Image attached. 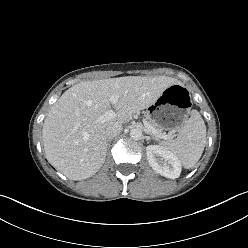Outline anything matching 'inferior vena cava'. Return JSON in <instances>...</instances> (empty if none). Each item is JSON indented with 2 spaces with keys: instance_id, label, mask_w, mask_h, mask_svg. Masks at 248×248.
<instances>
[{
  "instance_id": "obj_1",
  "label": "inferior vena cava",
  "mask_w": 248,
  "mask_h": 248,
  "mask_svg": "<svg viewBox=\"0 0 248 248\" xmlns=\"http://www.w3.org/2000/svg\"><path fill=\"white\" fill-rule=\"evenodd\" d=\"M122 130V125L120 124H113L111 126H108L105 130V136L107 139H112L116 137L118 134H120Z\"/></svg>"
}]
</instances>
